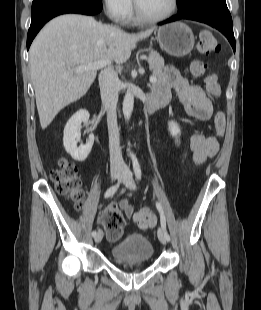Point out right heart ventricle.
<instances>
[{
    "label": "right heart ventricle",
    "instance_id": "e07e8e85",
    "mask_svg": "<svg viewBox=\"0 0 261 310\" xmlns=\"http://www.w3.org/2000/svg\"><path fill=\"white\" fill-rule=\"evenodd\" d=\"M129 21H133V18L131 17V18L129 19Z\"/></svg>",
    "mask_w": 261,
    "mask_h": 310
}]
</instances>
